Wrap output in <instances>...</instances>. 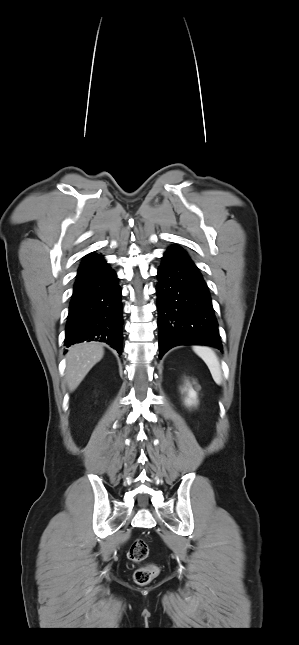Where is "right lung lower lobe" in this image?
<instances>
[{
    "instance_id": "98d812e1",
    "label": "right lung lower lobe",
    "mask_w": 299,
    "mask_h": 645,
    "mask_svg": "<svg viewBox=\"0 0 299 645\" xmlns=\"http://www.w3.org/2000/svg\"><path fill=\"white\" fill-rule=\"evenodd\" d=\"M121 296L117 275L102 256L80 265L67 317L65 346L99 341L121 354Z\"/></svg>"
}]
</instances>
